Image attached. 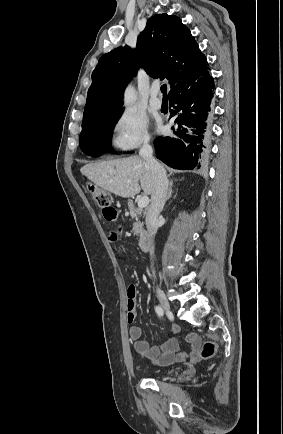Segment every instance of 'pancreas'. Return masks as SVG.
<instances>
[{"instance_id":"1","label":"pancreas","mask_w":283,"mask_h":434,"mask_svg":"<svg viewBox=\"0 0 283 434\" xmlns=\"http://www.w3.org/2000/svg\"><path fill=\"white\" fill-rule=\"evenodd\" d=\"M130 214L132 216H139L141 214V209L134 208L133 206L130 208ZM133 233L136 236H140L142 238L145 234V230L143 229V223L136 220V222L133 224Z\"/></svg>"}]
</instances>
